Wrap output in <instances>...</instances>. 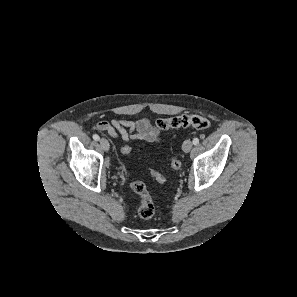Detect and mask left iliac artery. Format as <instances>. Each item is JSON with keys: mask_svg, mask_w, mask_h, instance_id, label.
I'll return each mask as SVG.
<instances>
[{"mask_svg": "<svg viewBox=\"0 0 297 297\" xmlns=\"http://www.w3.org/2000/svg\"><path fill=\"white\" fill-rule=\"evenodd\" d=\"M198 143H199V139H198L197 137L194 138V139H193V144H194V145H197Z\"/></svg>", "mask_w": 297, "mask_h": 297, "instance_id": "left-iliac-artery-1", "label": "left iliac artery"}]
</instances>
